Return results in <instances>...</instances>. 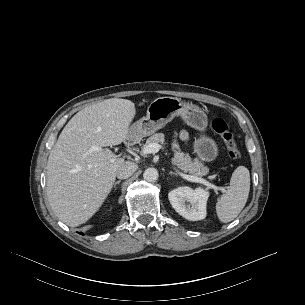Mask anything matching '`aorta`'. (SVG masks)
Returning <instances> with one entry per match:
<instances>
[{
	"instance_id": "aorta-1",
	"label": "aorta",
	"mask_w": 305,
	"mask_h": 305,
	"mask_svg": "<svg viewBox=\"0 0 305 305\" xmlns=\"http://www.w3.org/2000/svg\"><path fill=\"white\" fill-rule=\"evenodd\" d=\"M144 180L154 182L158 179V171L155 168H147L143 173Z\"/></svg>"
}]
</instances>
